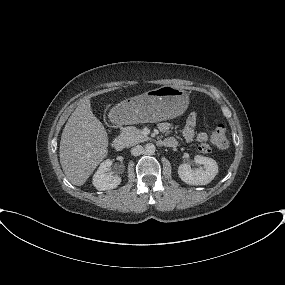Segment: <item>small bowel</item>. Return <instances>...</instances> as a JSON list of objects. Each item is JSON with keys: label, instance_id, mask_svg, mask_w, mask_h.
<instances>
[{"label": "small bowel", "instance_id": "1", "mask_svg": "<svg viewBox=\"0 0 285 285\" xmlns=\"http://www.w3.org/2000/svg\"><path fill=\"white\" fill-rule=\"evenodd\" d=\"M197 123H198L197 116L195 114H191L188 117L186 123L182 127L183 136L189 142L196 140L200 143H204L207 141L208 135L205 132H198V133L195 132ZM173 127L174 125L171 122H162L159 125L160 131L166 134L169 133L173 129ZM164 144L167 146H175L177 144V140L173 136H167L164 139Z\"/></svg>", "mask_w": 285, "mask_h": 285}]
</instances>
